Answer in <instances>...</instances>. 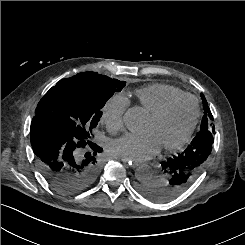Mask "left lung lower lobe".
Here are the masks:
<instances>
[{
  "label": "left lung lower lobe",
  "mask_w": 245,
  "mask_h": 245,
  "mask_svg": "<svg viewBox=\"0 0 245 245\" xmlns=\"http://www.w3.org/2000/svg\"><path fill=\"white\" fill-rule=\"evenodd\" d=\"M213 141L211 131L197 134L184 151L161 163L158 176L141 184L140 192L157 202L170 201L182 194L203 171Z\"/></svg>",
  "instance_id": "obj_1"
}]
</instances>
